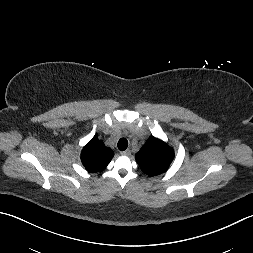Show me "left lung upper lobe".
<instances>
[{
	"mask_svg": "<svg viewBox=\"0 0 253 253\" xmlns=\"http://www.w3.org/2000/svg\"><path fill=\"white\" fill-rule=\"evenodd\" d=\"M135 158L145 174L156 176L168 169L174 158V151L165 142L150 137Z\"/></svg>",
	"mask_w": 253,
	"mask_h": 253,
	"instance_id": "left-lung-upper-lobe-1",
	"label": "left lung upper lobe"
}]
</instances>
